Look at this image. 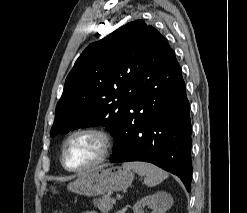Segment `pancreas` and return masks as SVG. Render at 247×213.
I'll use <instances>...</instances> for the list:
<instances>
[{"instance_id":"1","label":"pancreas","mask_w":247,"mask_h":213,"mask_svg":"<svg viewBox=\"0 0 247 213\" xmlns=\"http://www.w3.org/2000/svg\"><path fill=\"white\" fill-rule=\"evenodd\" d=\"M93 204L96 207H98V209L102 211V213H108L113 207L112 198L110 194H107V195L102 196L101 198L95 199L93 201Z\"/></svg>"}]
</instances>
